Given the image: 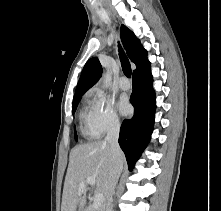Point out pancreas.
Here are the masks:
<instances>
[{
  "label": "pancreas",
  "mask_w": 221,
  "mask_h": 211,
  "mask_svg": "<svg viewBox=\"0 0 221 211\" xmlns=\"http://www.w3.org/2000/svg\"><path fill=\"white\" fill-rule=\"evenodd\" d=\"M85 211H104V206H100L98 208H94L93 206H89Z\"/></svg>",
  "instance_id": "cf45deb5"
}]
</instances>
